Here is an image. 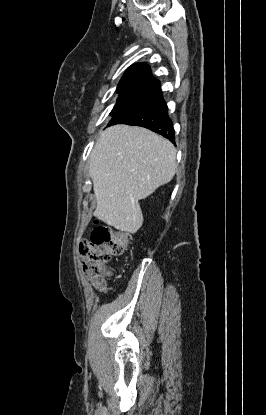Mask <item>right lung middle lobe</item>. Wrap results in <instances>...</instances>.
<instances>
[{
  "label": "right lung middle lobe",
  "mask_w": 266,
  "mask_h": 415,
  "mask_svg": "<svg viewBox=\"0 0 266 415\" xmlns=\"http://www.w3.org/2000/svg\"><path fill=\"white\" fill-rule=\"evenodd\" d=\"M148 95L143 93L119 92L116 105L114 106L111 115L114 116L124 109L138 103L146 98Z\"/></svg>",
  "instance_id": "right-lung-middle-lobe-1"
}]
</instances>
